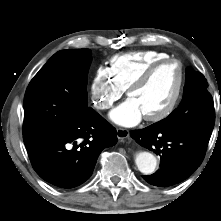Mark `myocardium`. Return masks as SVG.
Wrapping results in <instances>:
<instances>
[{"instance_id": "1", "label": "myocardium", "mask_w": 221, "mask_h": 221, "mask_svg": "<svg viewBox=\"0 0 221 221\" xmlns=\"http://www.w3.org/2000/svg\"><path fill=\"white\" fill-rule=\"evenodd\" d=\"M170 63L175 64L179 70V81H178L175 94L172 97L169 104L162 111L153 115L144 116V119L148 122L162 121L166 119L168 116H170L173 113V111L176 109L182 97L184 86H185L186 72H185L184 65L182 64L180 60L175 59V58H167V59L159 60L151 64L149 67H147L145 71L127 89V95L130 96L134 91L146 85L157 70H159L161 67Z\"/></svg>"}]
</instances>
